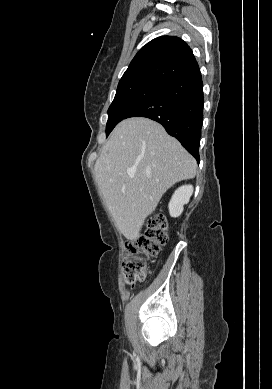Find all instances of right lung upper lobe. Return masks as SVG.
<instances>
[{
  "label": "right lung upper lobe",
  "mask_w": 272,
  "mask_h": 389,
  "mask_svg": "<svg viewBox=\"0 0 272 389\" xmlns=\"http://www.w3.org/2000/svg\"><path fill=\"white\" fill-rule=\"evenodd\" d=\"M199 69L190 47L175 36H162L147 43L133 58L119 85L154 81L164 85Z\"/></svg>",
  "instance_id": "1"
}]
</instances>
